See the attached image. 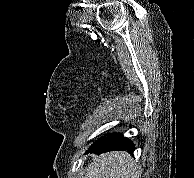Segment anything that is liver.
<instances>
[{
    "label": "liver",
    "instance_id": "liver-1",
    "mask_svg": "<svg viewBox=\"0 0 194 178\" xmlns=\"http://www.w3.org/2000/svg\"><path fill=\"white\" fill-rule=\"evenodd\" d=\"M138 171L126 152H109L96 157L85 178H136Z\"/></svg>",
    "mask_w": 194,
    "mask_h": 178
}]
</instances>
